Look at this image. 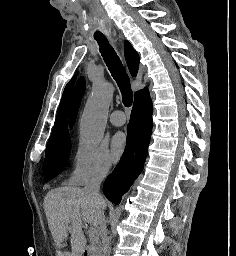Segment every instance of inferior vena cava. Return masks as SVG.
<instances>
[{
  "label": "inferior vena cava",
  "instance_id": "obj_1",
  "mask_svg": "<svg viewBox=\"0 0 236 256\" xmlns=\"http://www.w3.org/2000/svg\"><path fill=\"white\" fill-rule=\"evenodd\" d=\"M105 176V168H94V170H91L89 174V180H87L85 188H83V192H86V194H90L91 198H94V200H96L99 210H102V206L104 204V200L102 196H100V184L102 180H104ZM100 226V236L102 240L101 256H110V242L109 236H107L104 218Z\"/></svg>",
  "mask_w": 236,
  "mask_h": 256
}]
</instances>
